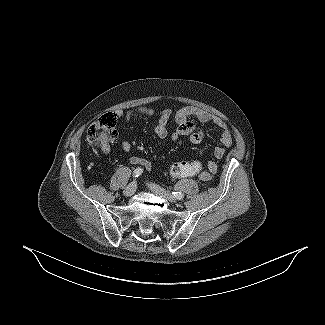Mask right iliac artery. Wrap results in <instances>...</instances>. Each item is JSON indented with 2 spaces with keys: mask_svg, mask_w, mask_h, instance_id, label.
Wrapping results in <instances>:
<instances>
[{
  "mask_svg": "<svg viewBox=\"0 0 325 325\" xmlns=\"http://www.w3.org/2000/svg\"><path fill=\"white\" fill-rule=\"evenodd\" d=\"M143 173V169L142 168H136L133 172V177H139L140 175H142Z\"/></svg>",
  "mask_w": 325,
  "mask_h": 325,
  "instance_id": "obj_1",
  "label": "right iliac artery"
}]
</instances>
